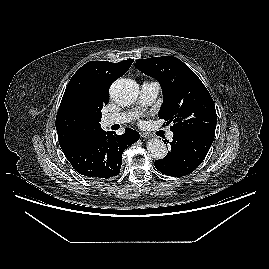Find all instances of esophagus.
<instances>
[{
  "label": "esophagus",
  "instance_id": "1",
  "mask_svg": "<svg viewBox=\"0 0 269 269\" xmlns=\"http://www.w3.org/2000/svg\"><path fill=\"white\" fill-rule=\"evenodd\" d=\"M141 137L144 138V139H148V138L151 137V135L148 134V133L143 132V133H141Z\"/></svg>",
  "mask_w": 269,
  "mask_h": 269
}]
</instances>
